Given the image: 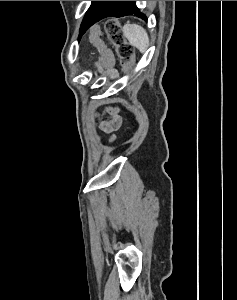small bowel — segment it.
<instances>
[{"label": "small bowel", "mask_w": 237, "mask_h": 300, "mask_svg": "<svg viewBox=\"0 0 237 300\" xmlns=\"http://www.w3.org/2000/svg\"><path fill=\"white\" fill-rule=\"evenodd\" d=\"M103 71H104L105 76L110 79H116L118 77L116 70L113 68H107V69H104ZM103 113L109 114L110 118L108 120L102 121L100 123V129L104 133L110 134L111 139L113 140L115 137L114 133L120 128L122 119L117 114V111L113 108H106Z\"/></svg>", "instance_id": "obj_1"}]
</instances>
